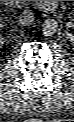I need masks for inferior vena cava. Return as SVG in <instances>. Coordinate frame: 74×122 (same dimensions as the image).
<instances>
[{"instance_id": "1", "label": "inferior vena cava", "mask_w": 74, "mask_h": 122, "mask_svg": "<svg viewBox=\"0 0 74 122\" xmlns=\"http://www.w3.org/2000/svg\"><path fill=\"white\" fill-rule=\"evenodd\" d=\"M34 14L30 11H23L19 17V21L24 26L32 25L34 22Z\"/></svg>"}]
</instances>
